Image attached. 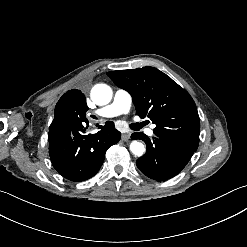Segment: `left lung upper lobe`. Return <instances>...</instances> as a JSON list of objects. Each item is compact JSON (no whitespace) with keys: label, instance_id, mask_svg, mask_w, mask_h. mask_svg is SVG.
<instances>
[{"label":"left lung upper lobe","instance_id":"left-lung-upper-lobe-1","mask_svg":"<svg viewBox=\"0 0 247 247\" xmlns=\"http://www.w3.org/2000/svg\"><path fill=\"white\" fill-rule=\"evenodd\" d=\"M120 88L128 91L136 113L156 124L154 134L197 150L200 120L189 93L154 67L108 72Z\"/></svg>","mask_w":247,"mask_h":247}]
</instances>
